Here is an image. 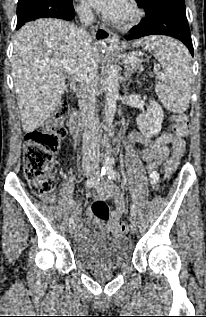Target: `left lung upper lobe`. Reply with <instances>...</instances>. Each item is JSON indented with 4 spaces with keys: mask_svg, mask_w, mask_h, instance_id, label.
<instances>
[{
    "mask_svg": "<svg viewBox=\"0 0 206 317\" xmlns=\"http://www.w3.org/2000/svg\"><path fill=\"white\" fill-rule=\"evenodd\" d=\"M139 7H143L146 15L162 11L185 14L184 0H136Z\"/></svg>",
    "mask_w": 206,
    "mask_h": 317,
    "instance_id": "obj_1",
    "label": "left lung upper lobe"
}]
</instances>
